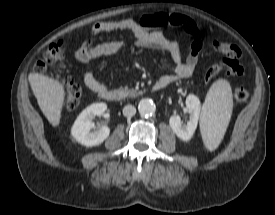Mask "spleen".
Here are the masks:
<instances>
[{
    "label": "spleen",
    "instance_id": "obj_1",
    "mask_svg": "<svg viewBox=\"0 0 275 215\" xmlns=\"http://www.w3.org/2000/svg\"><path fill=\"white\" fill-rule=\"evenodd\" d=\"M232 108L231 86L227 80L219 79L210 87L200 117L202 139L209 151L215 150L223 139Z\"/></svg>",
    "mask_w": 275,
    "mask_h": 215
}]
</instances>
